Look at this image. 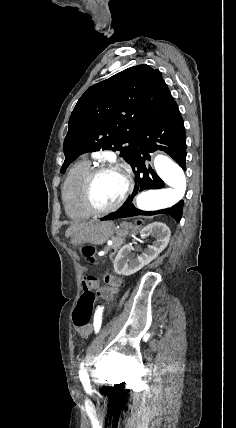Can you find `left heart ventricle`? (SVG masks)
Returning a JSON list of instances; mask_svg holds the SVG:
<instances>
[{"instance_id": "1", "label": "left heart ventricle", "mask_w": 236, "mask_h": 428, "mask_svg": "<svg viewBox=\"0 0 236 428\" xmlns=\"http://www.w3.org/2000/svg\"><path fill=\"white\" fill-rule=\"evenodd\" d=\"M127 188L125 173L120 169L108 170L100 174L94 181L92 194L100 206H110L117 203Z\"/></svg>"}]
</instances>
